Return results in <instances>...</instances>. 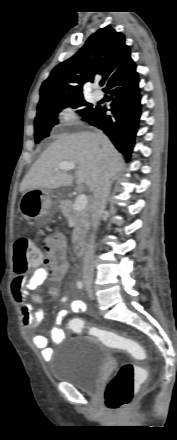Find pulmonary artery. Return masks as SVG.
Masks as SVG:
<instances>
[{"mask_svg":"<svg viewBox=\"0 0 177 440\" xmlns=\"http://www.w3.org/2000/svg\"><path fill=\"white\" fill-rule=\"evenodd\" d=\"M93 97H94V99L97 100V101H98V100H101L102 97H103V93L100 92V91H96V92H94Z\"/></svg>","mask_w":177,"mask_h":440,"instance_id":"e3ab8cb5","label":"pulmonary artery"}]
</instances>
